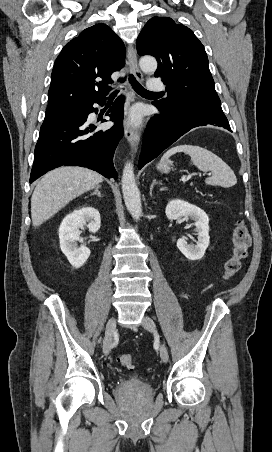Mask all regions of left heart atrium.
<instances>
[{
    "instance_id": "obj_1",
    "label": "left heart atrium",
    "mask_w": 272,
    "mask_h": 452,
    "mask_svg": "<svg viewBox=\"0 0 272 452\" xmlns=\"http://www.w3.org/2000/svg\"><path fill=\"white\" fill-rule=\"evenodd\" d=\"M140 120V112L138 110H133L130 114V122L131 123H138Z\"/></svg>"
}]
</instances>
